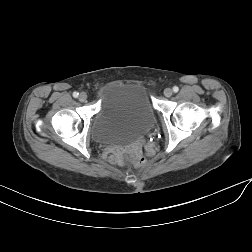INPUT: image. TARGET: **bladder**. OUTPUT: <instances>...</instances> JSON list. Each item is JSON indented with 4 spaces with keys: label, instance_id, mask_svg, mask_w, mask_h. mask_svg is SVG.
Instances as JSON below:
<instances>
[{
    "label": "bladder",
    "instance_id": "bladder-1",
    "mask_svg": "<svg viewBox=\"0 0 252 252\" xmlns=\"http://www.w3.org/2000/svg\"><path fill=\"white\" fill-rule=\"evenodd\" d=\"M91 134L99 144H130L149 132L155 114L147 89L135 82H112L99 91Z\"/></svg>",
    "mask_w": 252,
    "mask_h": 252
}]
</instances>
